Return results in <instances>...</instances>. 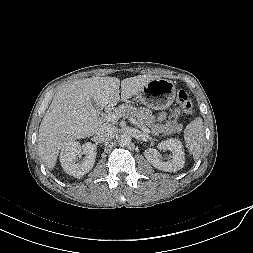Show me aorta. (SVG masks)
<instances>
[{"mask_svg": "<svg viewBox=\"0 0 253 253\" xmlns=\"http://www.w3.org/2000/svg\"><path fill=\"white\" fill-rule=\"evenodd\" d=\"M130 143H131V136L130 135H128L126 133H123V134L119 135L118 144L121 147L128 146Z\"/></svg>", "mask_w": 253, "mask_h": 253, "instance_id": "1", "label": "aorta"}]
</instances>
